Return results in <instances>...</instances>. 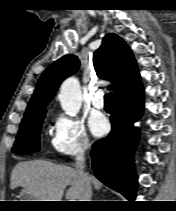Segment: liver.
I'll list each match as a JSON object with an SVG mask.
<instances>
[{
    "mask_svg": "<svg viewBox=\"0 0 176 211\" xmlns=\"http://www.w3.org/2000/svg\"><path fill=\"white\" fill-rule=\"evenodd\" d=\"M90 184L96 190L101 189L102 183L89 176ZM67 201H82L83 185L77 170L54 164L46 160H32L18 163L12 170L10 188L18 186L29 191L38 201H62L65 188Z\"/></svg>",
    "mask_w": 176,
    "mask_h": 211,
    "instance_id": "obj_1",
    "label": "liver"
}]
</instances>
